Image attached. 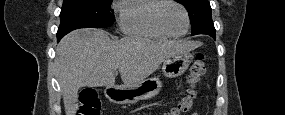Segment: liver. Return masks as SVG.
Here are the masks:
<instances>
[{"label": "liver", "instance_id": "liver-1", "mask_svg": "<svg viewBox=\"0 0 285 115\" xmlns=\"http://www.w3.org/2000/svg\"><path fill=\"white\" fill-rule=\"evenodd\" d=\"M201 46L196 41L156 42L140 37L113 41L100 29H79L57 46L55 67L66 115H75L80 88L113 86L116 72L124 85L144 81L165 59Z\"/></svg>", "mask_w": 285, "mask_h": 115}]
</instances>
